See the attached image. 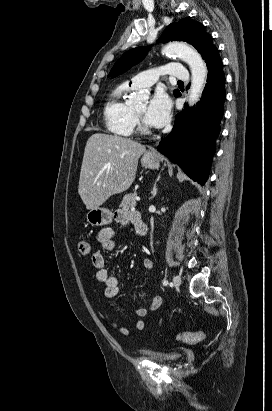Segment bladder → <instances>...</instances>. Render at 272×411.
Returning <instances> with one entry per match:
<instances>
[{
	"mask_svg": "<svg viewBox=\"0 0 272 411\" xmlns=\"http://www.w3.org/2000/svg\"><path fill=\"white\" fill-rule=\"evenodd\" d=\"M145 356L156 363L172 365L178 362L181 358V354L178 352H170V353H160V352H146Z\"/></svg>",
	"mask_w": 272,
	"mask_h": 411,
	"instance_id": "bladder-1",
	"label": "bladder"
}]
</instances>
